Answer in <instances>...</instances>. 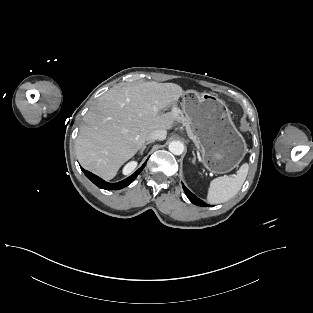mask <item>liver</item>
Wrapping results in <instances>:
<instances>
[{"mask_svg":"<svg viewBox=\"0 0 313 313\" xmlns=\"http://www.w3.org/2000/svg\"><path fill=\"white\" fill-rule=\"evenodd\" d=\"M184 94L173 83L144 82L109 89L84 117L76 140L81 165L105 180L140 150L155 130H170L180 110L160 112Z\"/></svg>","mask_w":313,"mask_h":313,"instance_id":"obj_1","label":"liver"}]
</instances>
